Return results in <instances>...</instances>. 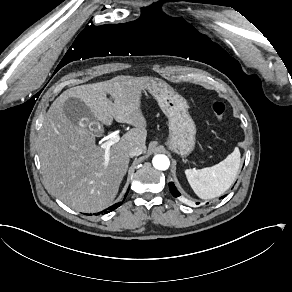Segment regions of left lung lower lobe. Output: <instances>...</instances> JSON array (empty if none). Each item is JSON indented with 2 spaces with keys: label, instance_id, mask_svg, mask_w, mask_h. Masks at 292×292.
Segmentation results:
<instances>
[{
  "label": "left lung lower lobe",
  "instance_id": "1",
  "mask_svg": "<svg viewBox=\"0 0 292 292\" xmlns=\"http://www.w3.org/2000/svg\"><path fill=\"white\" fill-rule=\"evenodd\" d=\"M169 189L174 197H179L181 195L180 192L176 189L173 182L169 183ZM225 196H223L222 198H224Z\"/></svg>",
  "mask_w": 292,
  "mask_h": 292
}]
</instances>
